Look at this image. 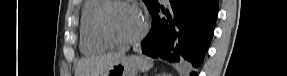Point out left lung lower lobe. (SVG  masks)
<instances>
[{"label": "left lung lower lobe", "instance_id": "0a47b994", "mask_svg": "<svg viewBox=\"0 0 287 76\" xmlns=\"http://www.w3.org/2000/svg\"><path fill=\"white\" fill-rule=\"evenodd\" d=\"M171 9L160 17V5L149 11L152 27L138 48L146 55L185 64L192 71L203 62L218 15V0H169Z\"/></svg>", "mask_w": 287, "mask_h": 76}]
</instances>
